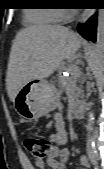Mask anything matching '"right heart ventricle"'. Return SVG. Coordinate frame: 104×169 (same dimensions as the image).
<instances>
[{
    "label": "right heart ventricle",
    "mask_w": 104,
    "mask_h": 169,
    "mask_svg": "<svg viewBox=\"0 0 104 169\" xmlns=\"http://www.w3.org/2000/svg\"><path fill=\"white\" fill-rule=\"evenodd\" d=\"M26 17L33 23L52 24L59 20V10L55 8H36L26 12Z\"/></svg>",
    "instance_id": "1"
}]
</instances>
